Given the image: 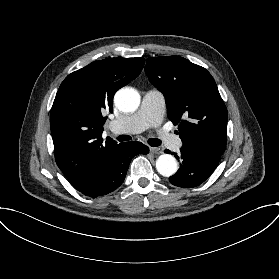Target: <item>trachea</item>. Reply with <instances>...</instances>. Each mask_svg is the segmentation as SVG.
I'll return each mask as SVG.
<instances>
[{"label": "trachea", "instance_id": "trachea-1", "mask_svg": "<svg viewBox=\"0 0 279 279\" xmlns=\"http://www.w3.org/2000/svg\"><path fill=\"white\" fill-rule=\"evenodd\" d=\"M131 139L132 138L129 135H120V136L117 137L118 141H129ZM148 143H149L150 146H159V145H161V141L159 139H156V138L149 139Z\"/></svg>", "mask_w": 279, "mask_h": 279}]
</instances>
